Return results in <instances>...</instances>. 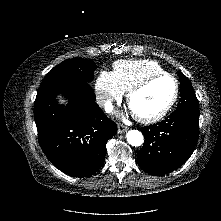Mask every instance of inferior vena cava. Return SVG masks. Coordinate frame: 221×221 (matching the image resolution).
I'll return each mask as SVG.
<instances>
[{
	"mask_svg": "<svg viewBox=\"0 0 221 221\" xmlns=\"http://www.w3.org/2000/svg\"><path fill=\"white\" fill-rule=\"evenodd\" d=\"M110 100H111V97L106 92H99L96 95V101L100 106H103L107 101H110Z\"/></svg>",
	"mask_w": 221,
	"mask_h": 221,
	"instance_id": "1",
	"label": "inferior vena cava"
}]
</instances>
